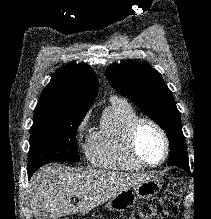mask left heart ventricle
Masks as SVG:
<instances>
[{
  "instance_id": "b2bd125f",
  "label": "left heart ventricle",
  "mask_w": 211,
  "mask_h": 219,
  "mask_svg": "<svg viewBox=\"0 0 211 219\" xmlns=\"http://www.w3.org/2000/svg\"><path fill=\"white\" fill-rule=\"evenodd\" d=\"M138 150L142 159L150 164L158 163L164 154V143L159 132L144 124L138 132Z\"/></svg>"
}]
</instances>
